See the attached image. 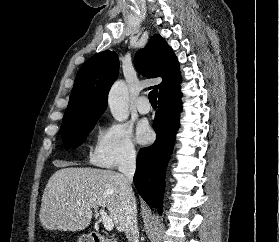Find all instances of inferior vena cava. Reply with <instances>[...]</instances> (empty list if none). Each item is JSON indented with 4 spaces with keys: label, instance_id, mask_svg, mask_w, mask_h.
Returning a JSON list of instances; mask_svg holds the SVG:
<instances>
[{
    "label": "inferior vena cava",
    "instance_id": "obj_1",
    "mask_svg": "<svg viewBox=\"0 0 279 242\" xmlns=\"http://www.w3.org/2000/svg\"><path fill=\"white\" fill-rule=\"evenodd\" d=\"M136 169V153L134 149H130L124 155L119 165V171L125 176V192L128 198L125 219V234L128 242H139V231L137 225V207L132 189L133 176Z\"/></svg>",
    "mask_w": 279,
    "mask_h": 242
}]
</instances>
